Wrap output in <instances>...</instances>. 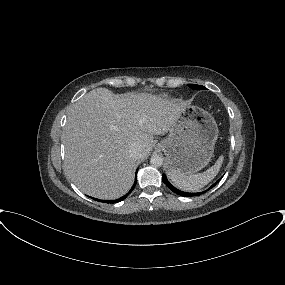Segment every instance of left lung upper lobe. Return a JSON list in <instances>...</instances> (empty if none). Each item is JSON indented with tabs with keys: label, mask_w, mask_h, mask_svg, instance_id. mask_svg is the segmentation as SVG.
<instances>
[{
	"label": "left lung upper lobe",
	"mask_w": 285,
	"mask_h": 285,
	"mask_svg": "<svg viewBox=\"0 0 285 285\" xmlns=\"http://www.w3.org/2000/svg\"><path fill=\"white\" fill-rule=\"evenodd\" d=\"M188 86L194 90L206 89L205 87L196 84H188Z\"/></svg>",
	"instance_id": "5c2ea615"
}]
</instances>
